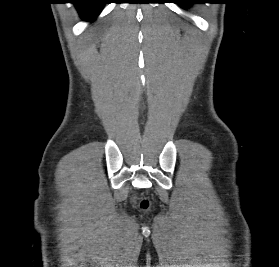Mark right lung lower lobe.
Returning <instances> with one entry per match:
<instances>
[{
	"label": "right lung lower lobe",
	"instance_id": "obj_1",
	"mask_svg": "<svg viewBox=\"0 0 279 267\" xmlns=\"http://www.w3.org/2000/svg\"><path fill=\"white\" fill-rule=\"evenodd\" d=\"M81 17L84 20H90L96 17L107 3V0H74Z\"/></svg>",
	"mask_w": 279,
	"mask_h": 267
}]
</instances>
